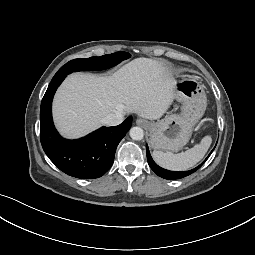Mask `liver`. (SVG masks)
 <instances>
[{
  "label": "liver",
  "instance_id": "obj_1",
  "mask_svg": "<svg viewBox=\"0 0 255 255\" xmlns=\"http://www.w3.org/2000/svg\"><path fill=\"white\" fill-rule=\"evenodd\" d=\"M176 85L168 67L149 58H136L111 76L71 74L56 92L54 120L65 137L78 138L115 112L159 119L175 99Z\"/></svg>",
  "mask_w": 255,
  "mask_h": 255
}]
</instances>
